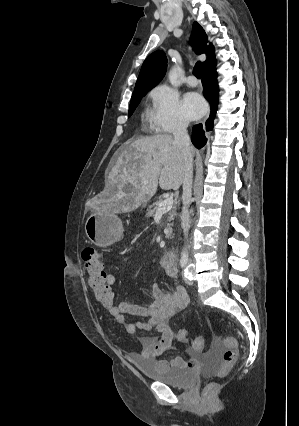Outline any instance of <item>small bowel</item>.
<instances>
[{
    "instance_id": "c3829d8e",
    "label": "small bowel",
    "mask_w": 299,
    "mask_h": 426,
    "mask_svg": "<svg viewBox=\"0 0 299 426\" xmlns=\"http://www.w3.org/2000/svg\"><path fill=\"white\" fill-rule=\"evenodd\" d=\"M166 274L174 278L177 275L175 263L167 265L162 263ZM106 280L109 285L116 283L113 274L106 271ZM188 304V296L185 290L177 286L172 290L165 291L158 283L152 287V299L150 301L131 303L121 301L113 304L106 310L115 317L116 321L124 325L127 333L135 334L137 331H155L158 336H142L139 338L141 351L130 353L129 359L132 362L139 360L150 361L155 368L164 369L167 367L194 368L199 362L198 350L188 349L189 357H175L169 362L161 359V355L172 348L174 338L173 331L169 325V320ZM127 316H137L146 318L145 320H127Z\"/></svg>"
}]
</instances>
